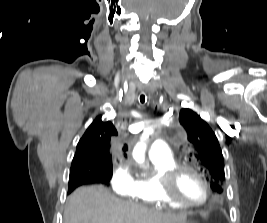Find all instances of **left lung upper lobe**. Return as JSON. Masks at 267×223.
<instances>
[{"label":"left lung upper lobe","instance_id":"1","mask_svg":"<svg viewBox=\"0 0 267 223\" xmlns=\"http://www.w3.org/2000/svg\"><path fill=\"white\" fill-rule=\"evenodd\" d=\"M179 121L186 131L187 140L192 145L194 155L200 161L201 170L210 182L212 190L221 193V186L225 180L224 160L215 133L191 109H181Z\"/></svg>","mask_w":267,"mask_h":223}]
</instances>
